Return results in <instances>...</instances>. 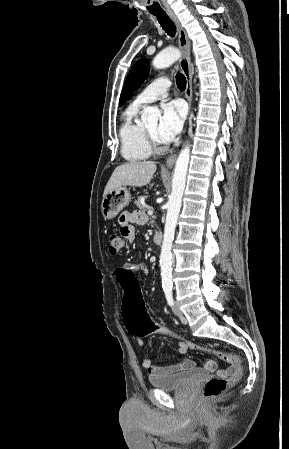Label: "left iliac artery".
<instances>
[{"label":"left iliac artery","instance_id":"44dca946","mask_svg":"<svg viewBox=\"0 0 289 449\" xmlns=\"http://www.w3.org/2000/svg\"><path fill=\"white\" fill-rule=\"evenodd\" d=\"M164 291H165V296H166L168 304L170 306H173L174 305V300H173V295H172V289L168 288V289H165Z\"/></svg>","mask_w":289,"mask_h":449}]
</instances>
